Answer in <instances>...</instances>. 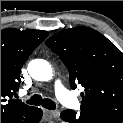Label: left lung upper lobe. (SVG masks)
<instances>
[{
    "mask_svg": "<svg viewBox=\"0 0 123 123\" xmlns=\"http://www.w3.org/2000/svg\"><path fill=\"white\" fill-rule=\"evenodd\" d=\"M46 45L66 65L72 89L81 84V109H96L123 118V54L88 27L62 30Z\"/></svg>",
    "mask_w": 123,
    "mask_h": 123,
    "instance_id": "obj_1",
    "label": "left lung upper lobe"
}]
</instances>
